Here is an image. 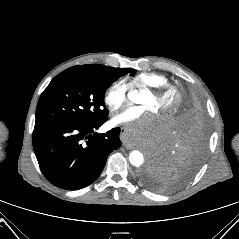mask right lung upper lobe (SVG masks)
I'll list each match as a JSON object with an SVG mask.
<instances>
[{
  "instance_id": "right-lung-upper-lobe-1",
  "label": "right lung upper lobe",
  "mask_w": 239,
  "mask_h": 239,
  "mask_svg": "<svg viewBox=\"0 0 239 239\" xmlns=\"http://www.w3.org/2000/svg\"><path fill=\"white\" fill-rule=\"evenodd\" d=\"M68 71H78V72H85V73H108L116 71L117 68L108 67L100 64H90V65H78L73 66Z\"/></svg>"
}]
</instances>
